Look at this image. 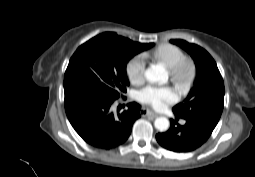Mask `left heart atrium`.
<instances>
[{"label": "left heart atrium", "instance_id": "1", "mask_svg": "<svg viewBox=\"0 0 255 177\" xmlns=\"http://www.w3.org/2000/svg\"><path fill=\"white\" fill-rule=\"evenodd\" d=\"M138 99L155 108H162L166 103L175 101L176 95L170 88L149 85L138 92Z\"/></svg>", "mask_w": 255, "mask_h": 177}]
</instances>
